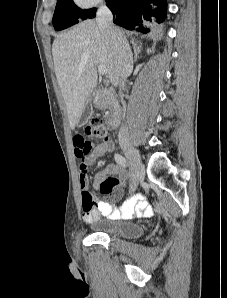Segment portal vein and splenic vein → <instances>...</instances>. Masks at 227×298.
<instances>
[{
	"instance_id": "obj_1",
	"label": "portal vein and splenic vein",
	"mask_w": 227,
	"mask_h": 298,
	"mask_svg": "<svg viewBox=\"0 0 227 298\" xmlns=\"http://www.w3.org/2000/svg\"><path fill=\"white\" fill-rule=\"evenodd\" d=\"M98 72L100 75H106L107 74V69L104 65H99L98 66Z\"/></svg>"
}]
</instances>
